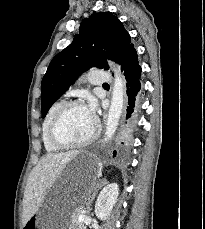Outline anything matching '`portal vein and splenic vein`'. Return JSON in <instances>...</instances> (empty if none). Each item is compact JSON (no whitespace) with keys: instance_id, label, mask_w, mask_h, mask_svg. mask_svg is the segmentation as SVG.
Masks as SVG:
<instances>
[{"instance_id":"1","label":"portal vein and splenic vein","mask_w":205,"mask_h":229,"mask_svg":"<svg viewBox=\"0 0 205 229\" xmlns=\"http://www.w3.org/2000/svg\"><path fill=\"white\" fill-rule=\"evenodd\" d=\"M83 218V216H79L78 219L81 220Z\"/></svg>"}]
</instances>
